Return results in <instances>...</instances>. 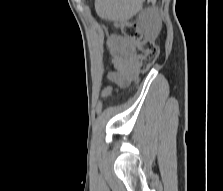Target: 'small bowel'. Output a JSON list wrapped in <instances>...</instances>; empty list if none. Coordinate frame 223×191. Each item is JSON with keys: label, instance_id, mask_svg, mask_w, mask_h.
<instances>
[{"label": "small bowel", "instance_id": "small-bowel-1", "mask_svg": "<svg viewBox=\"0 0 223 191\" xmlns=\"http://www.w3.org/2000/svg\"><path fill=\"white\" fill-rule=\"evenodd\" d=\"M112 55L114 71L109 74V79L119 86H126L129 81L138 74V65L141 54L126 37L114 34L108 41ZM112 88L104 90L103 96L111 94Z\"/></svg>", "mask_w": 223, "mask_h": 191}]
</instances>
